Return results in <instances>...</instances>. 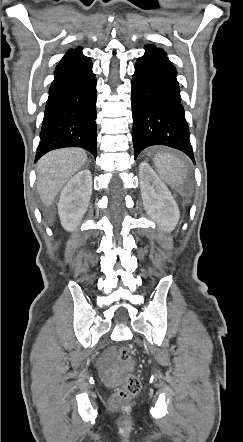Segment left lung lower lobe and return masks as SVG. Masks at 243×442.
<instances>
[{"instance_id":"obj_1","label":"left lung lower lobe","mask_w":243,"mask_h":442,"mask_svg":"<svg viewBox=\"0 0 243 442\" xmlns=\"http://www.w3.org/2000/svg\"><path fill=\"white\" fill-rule=\"evenodd\" d=\"M145 50L131 83L134 157L146 147L165 145L183 151L195 163L176 69L162 49L146 45Z\"/></svg>"}]
</instances>
